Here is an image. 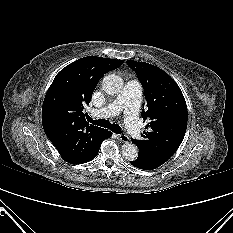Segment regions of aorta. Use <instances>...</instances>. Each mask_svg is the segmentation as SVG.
Returning <instances> with one entry per match:
<instances>
[{"label":"aorta","instance_id":"aorta-1","mask_svg":"<svg viewBox=\"0 0 233 233\" xmlns=\"http://www.w3.org/2000/svg\"><path fill=\"white\" fill-rule=\"evenodd\" d=\"M103 90L109 95L120 93L123 87V79L115 74L106 75L102 81ZM122 155L125 159L132 161L138 156V148L131 142L122 145Z\"/></svg>","mask_w":233,"mask_h":233}]
</instances>
